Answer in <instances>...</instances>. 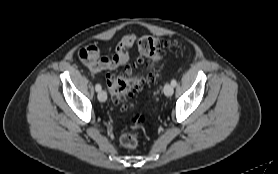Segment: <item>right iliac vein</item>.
I'll list each match as a JSON object with an SVG mask.
<instances>
[{
    "label": "right iliac vein",
    "instance_id": "right-iliac-vein-1",
    "mask_svg": "<svg viewBox=\"0 0 278 174\" xmlns=\"http://www.w3.org/2000/svg\"><path fill=\"white\" fill-rule=\"evenodd\" d=\"M98 99L101 102H105L107 100V93L105 91H99L98 93Z\"/></svg>",
    "mask_w": 278,
    "mask_h": 174
}]
</instances>
